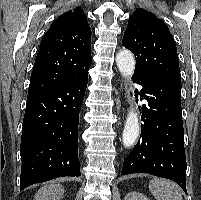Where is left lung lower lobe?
Masks as SVG:
<instances>
[{"label":"left lung lower lobe","instance_id":"0a47b994","mask_svg":"<svg viewBox=\"0 0 201 200\" xmlns=\"http://www.w3.org/2000/svg\"><path fill=\"white\" fill-rule=\"evenodd\" d=\"M142 85L140 101L144 122L137 145L125 158L122 175L148 173L171 179L186 191V158L181 109L180 79L133 77Z\"/></svg>","mask_w":201,"mask_h":200}]
</instances>
